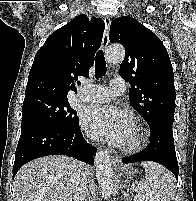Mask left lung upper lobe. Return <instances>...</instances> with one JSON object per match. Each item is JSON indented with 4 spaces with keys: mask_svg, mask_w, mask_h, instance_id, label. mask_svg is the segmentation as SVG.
Instances as JSON below:
<instances>
[{
    "mask_svg": "<svg viewBox=\"0 0 196 201\" xmlns=\"http://www.w3.org/2000/svg\"><path fill=\"white\" fill-rule=\"evenodd\" d=\"M109 39L125 48L119 74L131 84V105L151 128L173 125L174 75L161 40L137 20L125 16L111 22Z\"/></svg>",
    "mask_w": 196,
    "mask_h": 201,
    "instance_id": "5c2ea615",
    "label": "left lung upper lobe"
}]
</instances>
